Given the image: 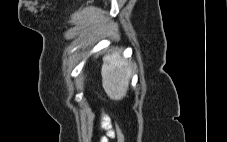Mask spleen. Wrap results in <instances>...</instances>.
<instances>
[{"label":"spleen","instance_id":"obj_1","mask_svg":"<svg viewBox=\"0 0 227 142\" xmlns=\"http://www.w3.org/2000/svg\"><path fill=\"white\" fill-rule=\"evenodd\" d=\"M102 86L112 100H121L127 92L132 75L131 63L122 60L118 51L103 57Z\"/></svg>","mask_w":227,"mask_h":142}]
</instances>
